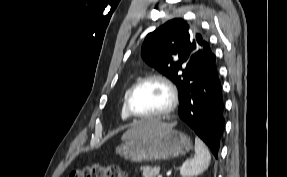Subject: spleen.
<instances>
[{
    "mask_svg": "<svg viewBox=\"0 0 287 177\" xmlns=\"http://www.w3.org/2000/svg\"><path fill=\"white\" fill-rule=\"evenodd\" d=\"M211 155L203 141L195 138V157L186 160L180 168L182 177H193L203 173L210 164Z\"/></svg>",
    "mask_w": 287,
    "mask_h": 177,
    "instance_id": "3e777b00",
    "label": "spleen"
}]
</instances>
